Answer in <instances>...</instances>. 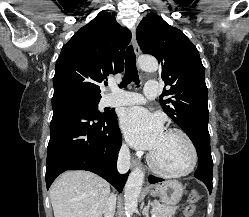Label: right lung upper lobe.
I'll return each instance as SVG.
<instances>
[{
	"label": "right lung upper lobe",
	"mask_w": 249,
	"mask_h": 217,
	"mask_svg": "<svg viewBox=\"0 0 249 217\" xmlns=\"http://www.w3.org/2000/svg\"><path fill=\"white\" fill-rule=\"evenodd\" d=\"M131 32L114 15L101 13L62 47L53 78L54 95L74 91L101 97L99 83L124 69Z\"/></svg>",
	"instance_id": "right-lung-upper-lobe-1"
}]
</instances>
